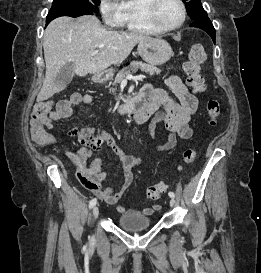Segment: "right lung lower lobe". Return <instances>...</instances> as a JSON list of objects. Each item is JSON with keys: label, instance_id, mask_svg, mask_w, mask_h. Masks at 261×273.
Here are the masks:
<instances>
[{"label": "right lung lower lobe", "instance_id": "98d812e1", "mask_svg": "<svg viewBox=\"0 0 261 273\" xmlns=\"http://www.w3.org/2000/svg\"><path fill=\"white\" fill-rule=\"evenodd\" d=\"M75 10H76V12L78 13V16L85 15L84 12H83L82 7L79 6V5H77V4L75 5ZM78 16H77V17H78ZM49 22H50L49 20H46V25H47Z\"/></svg>", "mask_w": 261, "mask_h": 273}]
</instances>
